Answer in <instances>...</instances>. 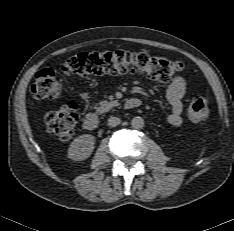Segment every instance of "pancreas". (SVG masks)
Instances as JSON below:
<instances>
[{
	"label": "pancreas",
	"instance_id": "cf45deb5",
	"mask_svg": "<svg viewBox=\"0 0 234 231\" xmlns=\"http://www.w3.org/2000/svg\"><path fill=\"white\" fill-rule=\"evenodd\" d=\"M117 103H118L117 101L108 102V101L104 100V101H101L98 104H96L95 109L100 113L107 112L112 107L116 106Z\"/></svg>",
	"mask_w": 234,
	"mask_h": 231
}]
</instances>
